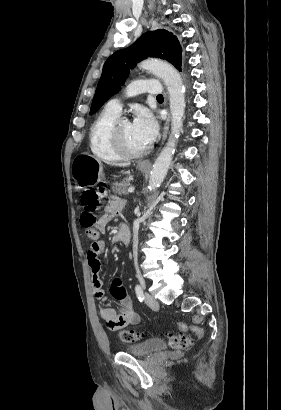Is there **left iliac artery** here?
I'll return each mask as SVG.
<instances>
[{"mask_svg": "<svg viewBox=\"0 0 281 410\" xmlns=\"http://www.w3.org/2000/svg\"><path fill=\"white\" fill-rule=\"evenodd\" d=\"M135 292H136V295H137L139 301H143L144 294H143V289L140 285L135 286Z\"/></svg>", "mask_w": 281, "mask_h": 410, "instance_id": "left-iliac-artery-1", "label": "left iliac artery"}]
</instances>
